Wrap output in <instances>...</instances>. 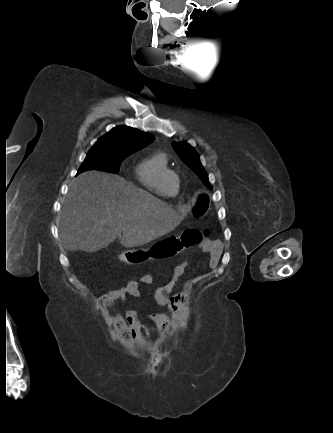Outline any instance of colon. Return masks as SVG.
I'll list each match as a JSON object with an SVG mask.
<instances>
[{"label": "colon", "mask_w": 333, "mask_h": 433, "mask_svg": "<svg viewBox=\"0 0 333 433\" xmlns=\"http://www.w3.org/2000/svg\"><path fill=\"white\" fill-rule=\"evenodd\" d=\"M205 235L207 231L192 228L185 230L181 236H160L154 244L147 245L145 252L143 249H125L124 257L117 259V262L127 266L148 265L152 263V258H175L179 248L196 246Z\"/></svg>", "instance_id": "colon-1"}]
</instances>
